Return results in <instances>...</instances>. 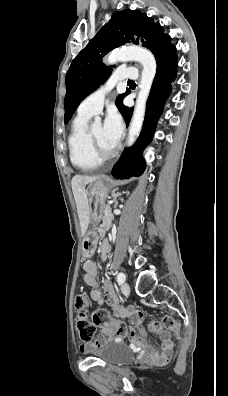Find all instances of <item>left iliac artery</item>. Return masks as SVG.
Instances as JSON below:
<instances>
[{
    "instance_id": "obj_1",
    "label": "left iliac artery",
    "mask_w": 228,
    "mask_h": 396,
    "mask_svg": "<svg viewBox=\"0 0 228 396\" xmlns=\"http://www.w3.org/2000/svg\"><path fill=\"white\" fill-rule=\"evenodd\" d=\"M125 279H126V276H125V274L123 272L118 273L117 282H118L119 285L124 283Z\"/></svg>"
}]
</instances>
